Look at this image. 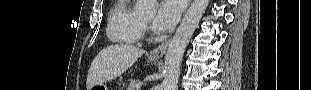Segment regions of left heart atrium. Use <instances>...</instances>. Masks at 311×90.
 <instances>
[{
    "mask_svg": "<svg viewBox=\"0 0 311 90\" xmlns=\"http://www.w3.org/2000/svg\"><path fill=\"white\" fill-rule=\"evenodd\" d=\"M182 1L164 0L159 4L153 20V28L157 32H167L178 22L182 12Z\"/></svg>",
    "mask_w": 311,
    "mask_h": 90,
    "instance_id": "1",
    "label": "left heart atrium"
}]
</instances>
